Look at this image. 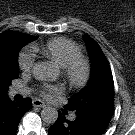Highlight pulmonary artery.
Listing matches in <instances>:
<instances>
[{"mask_svg":"<svg viewBox=\"0 0 135 135\" xmlns=\"http://www.w3.org/2000/svg\"><path fill=\"white\" fill-rule=\"evenodd\" d=\"M23 92H25L24 89L16 88V89H13V90L11 91V95H15V94H17V93H23Z\"/></svg>","mask_w":135,"mask_h":135,"instance_id":"obj_1","label":"pulmonary artery"}]
</instances>
